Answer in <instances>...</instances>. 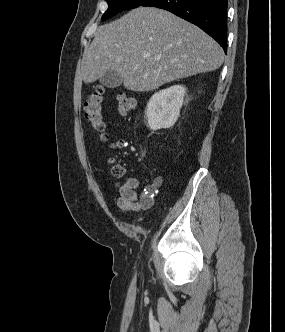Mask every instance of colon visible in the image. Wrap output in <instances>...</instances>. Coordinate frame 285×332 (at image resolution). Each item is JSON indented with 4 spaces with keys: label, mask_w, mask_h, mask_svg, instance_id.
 Here are the masks:
<instances>
[{
    "label": "colon",
    "mask_w": 285,
    "mask_h": 332,
    "mask_svg": "<svg viewBox=\"0 0 285 332\" xmlns=\"http://www.w3.org/2000/svg\"><path fill=\"white\" fill-rule=\"evenodd\" d=\"M104 88L97 86L86 98L84 102V116L91 128L96 131L103 141L107 140L106 124L103 114ZM117 110L121 116L129 114L136 105L134 96L126 92L117 94ZM116 147L118 144L115 145ZM112 175L115 178H121L125 170L119 164H113Z\"/></svg>",
    "instance_id": "colon-1"
}]
</instances>
